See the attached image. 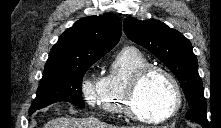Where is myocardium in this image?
Listing matches in <instances>:
<instances>
[{"mask_svg": "<svg viewBox=\"0 0 221 128\" xmlns=\"http://www.w3.org/2000/svg\"><path fill=\"white\" fill-rule=\"evenodd\" d=\"M156 72L162 73L168 79L173 92V103L164 114L156 117H149L138 110L136 106V98L142 83L147 77ZM181 102L182 96L180 87L173 74L164 67L158 65H147L138 70L132 77L126 93L125 108L127 114L135 120L144 123L159 124L173 118L180 110Z\"/></svg>", "mask_w": 221, "mask_h": 128, "instance_id": "f54148a6", "label": "myocardium"}]
</instances>
